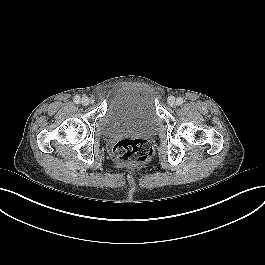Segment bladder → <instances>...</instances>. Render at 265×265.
<instances>
[{"label":"bladder","instance_id":"obj_1","mask_svg":"<svg viewBox=\"0 0 265 265\" xmlns=\"http://www.w3.org/2000/svg\"><path fill=\"white\" fill-rule=\"evenodd\" d=\"M161 124L150 86L126 84L108 100L103 116V133L107 137L123 133H153Z\"/></svg>","mask_w":265,"mask_h":265}]
</instances>
